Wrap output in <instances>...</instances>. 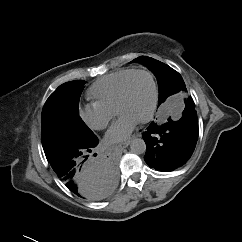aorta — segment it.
I'll list each match as a JSON object with an SVG mask.
<instances>
[{
  "label": "aorta",
  "mask_w": 242,
  "mask_h": 242,
  "mask_svg": "<svg viewBox=\"0 0 242 242\" xmlns=\"http://www.w3.org/2000/svg\"><path fill=\"white\" fill-rule=\"evenodd\" d=\"M131 152L134 154H143L146 151L145 141L141 138L133 139L130 144Z\"/></svg>",
  "instance_id": "1"
}]
</instances>
